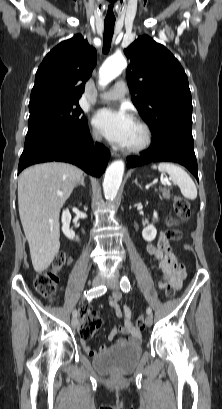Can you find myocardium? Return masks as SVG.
Masks as SVG:
<instances>
[{
  "label": "myocardium",
  "mask_w": 222,
  "mask_h": 409,
  "mask_svg": "<svg viewBox=\"0 0 222 409\" xmlns=\"http://www.w3.org/2000/svg\"><path fill=\"white\" fill-rule=\"evenodd\" d=\"M135 124L142 131V140L140 143L133 146H126L125 151L132 154H138L147 150L153 142V132L150 126L143 120L137 119Z\"/></svg>",
  "instance_id": "obj_1"
}]
</instances>
